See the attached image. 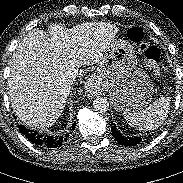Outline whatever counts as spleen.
<instances>
[{
	"instance_id": "spleen-1",
	"label": "spleen",
	"mask_w": 183,
	"mask_h": 183,
	"mask_svg": "<svg viewBox=\"0 0 183 183\" xmlns=\"http://www.w3.org/2000/svg\"><path fill=\"white\" fill-rule=\"evenodd\" d=\"M170 110V98L161 97L148 107L137 111H124L127 123L139 130H153L163 124Z\"/></svg>"
}]
</instances>
